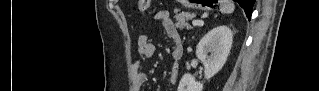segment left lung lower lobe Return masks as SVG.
<instances>
[{"label": "left lung lower lobe", "instance_id": "obj_1", "mask_svg": "<svg viewBox=\"0 0 319 91\" xmlns=\"http://www.w3.org/2000/svg\"><path fill=\"white\" fill-rule=\"evenodd\" d=\"M239 5L244 9L248 19H251L252 8L255 3V0H237Z\"/></svg>", "mask_w": 319, "mask_h": 91}]
</instances>
